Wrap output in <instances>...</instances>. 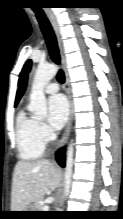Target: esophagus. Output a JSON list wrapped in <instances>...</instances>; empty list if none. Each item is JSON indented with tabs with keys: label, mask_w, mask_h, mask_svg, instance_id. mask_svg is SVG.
<instances>
[{
	"label": "esophagus",
	"mask_w": 123,
	"mask_h": 219,
	"mask_svg": "<svg viewBox=\"0 0 123 219\" xmlns=\"http://www.w3.org/2000/svg\"><path fill=\"white\" fill-rule=\"evenodd\" d=\"M50 22L51 25L54 29V32L56 34V38L58 41V46H59V51H60V57H61V62H62V67L64 70V75H65V90L68 98V104H69V117H68V122L64 131V134L59 142V148L63 147L64 144L66 143L70 129H71V123H72V100H71V92H70V81H69V74L67 70V62H66V56L64 52V47H63V42H62V37H61V32H60V27L58 24L57 19L53 14H49Z\"/></svg>",
	"instance_id": "1"
}]
</instances>
